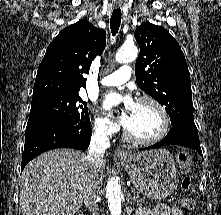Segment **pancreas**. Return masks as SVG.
<instances>
[{
    "label": "pancreas",
    "instance_id": "pancreas-1",
    "mask_svg": "<svg viewBox=\"0 0 221 215\" xmlns=\"http://www.w3.org/2000/svg\"><path fill=\"white\" fill-rule=\"evenodd\" d=\"M135 196L137 197V205L141 206L142 204L148 203V200L144 197H141L138 192L135 194Z\"/></svg>",
    "mask_w": 221,
    "mask_h": 215
}]
</instances>
